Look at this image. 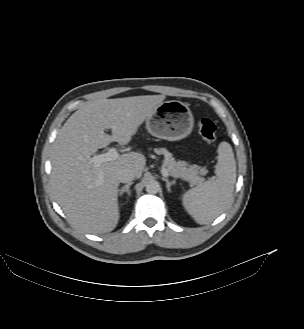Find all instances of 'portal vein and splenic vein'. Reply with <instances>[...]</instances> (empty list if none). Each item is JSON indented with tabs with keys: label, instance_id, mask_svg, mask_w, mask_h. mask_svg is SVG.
<instances>
[{
	"label": "portal vein and splenic vein",
	"instance_id": "18ae733b",
	"mask_svg": "<svg viewBox=\"0 0 304 329\" xmlns=\"http://www.w3.org/2000/svg\"><path fill=\"white\" fill-rule=\"evenodd\" d=\"M118 158H119V153H118L117 149L116 148H110L108 150V152L103 153V154H99V155H95V156L91 157L89 161L95 167H99L103 162L113 161V160H116ZM161 172L164 176L169 175L167 169L164 166L162 167Z\"/></svg>",
	"mask_w": 304,
	"mask_h": 329
}]
</instances>
